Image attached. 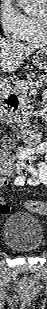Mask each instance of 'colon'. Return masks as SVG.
Instances as JSON below:
<instances>
[{
  "mask_svg": "<svg viewBox=\"0 0 47 309\" xmlns=\"http://www.w3.org/2000/svg\"><path fill=\"white\" fill-rule=\"evenodd\" d=\"M25 206L28 210L39 213V214H46L47 212V205L46 203L38 200H28L25 203ZM9 211V207L5 203L0 204V213L6 214Z\"/></svg>",
  "mask_w": 47,
  "mask_h": 309,
  "instance_id": "obj_1",
  "label": "colon"
}]
</instances>
